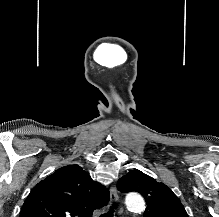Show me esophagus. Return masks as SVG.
<instances>
[{"label":"esophagus","instance_id":"esophagus-1","mask_svg":"<svg viewBox=\"0 0 219 217\" xmlns=\"http://www.w3.org/2000/svg\"><path fill=\"white\" fill-rule=\"evenodd\" d=\"M118 200H119V196L117 193V189L115 186H111L110 187V204H114L118 202Z\"/></svg>","mask_w":219,"mask_h":217}]
</instances>
